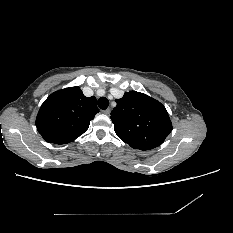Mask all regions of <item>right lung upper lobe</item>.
I'll return each mask as SVG.
<instances>
[{"mask_svg":"<svg viewBox=\"0 0 233 233\" xmlns=\"http://www.w3.org/2000/svg\"><path fill=\"white\" fill-rule=\"evenodd\" d=\"M99 110L96 98L85 97L79 87L51 94L40 107L36 126L44 140L67 144L83 134Z\"/></svg>","mask_w":233,"mask_h":233,"instance_id":"1","label":"right lung upper lobe"}]
</instances>
